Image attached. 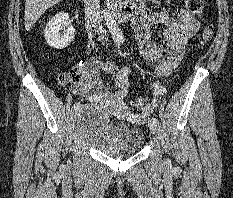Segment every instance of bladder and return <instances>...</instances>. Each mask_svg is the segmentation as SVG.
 <instances>
[{
  "label": "bladder",
  "mask_w": 233,
  "mask_h": 198,
  "mask_svg": "<svg viewBox=\"0 0 233 198\" xmlns=\"http://www.w3.org/2000/svg\"><path fill=\"white\" fill-rule=\"evenodd\" d=\"M77 131L89 145L111 157H123L138 152L145 135L140 127L112 126L105 110L96 105H86L77 114Z\"/></svg>",
  "instance_id": "obj_1"
}]
</instances>
